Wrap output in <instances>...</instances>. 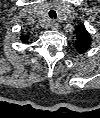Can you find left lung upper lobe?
Instances as JSON below:
<instances>
[{"instance_id": "left-lung-upper-lobe-1", "label": "left lung upper lobe", "mask_w": 100, "mask_h": 118, "mask_svg": "<svg viewBox=\"0 0 100 118\" xmlns=\"http://www.w3.org/2000/svg\"><path fill=\"white\" fill-rule=\"evenodd\" d=\"M76 38H77V42L75 45L76 50L81 53L87 51V49L91 44V38L89 33L86 31L84 25H79L76 28Z\"/></svg>"}]
</instances>
